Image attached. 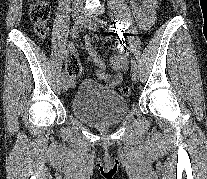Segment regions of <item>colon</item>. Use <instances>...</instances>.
I'll return each instance as SVG.
<instances>
[{"instance_id":"colon-1","label":"colon","mask_w":207,"mask_h":179,"mask_svg":"<svg viewBox=\"0 0 207 179\" xmlns=\"http://www.w3.org/2000/svg\"><path fill=\"white\" fill-rule=\"evenodd\" d=\"M51 14V6L46 0H34L30 7V20L35 27L38 37L45 40L48 36V22ZM81 67L77 58L71 54L67 60V73L70 77H75L80 74ZM123 96H128L131 93V88L128 86L122 87L120 90Z\"/></svg>"}]
</instances>
